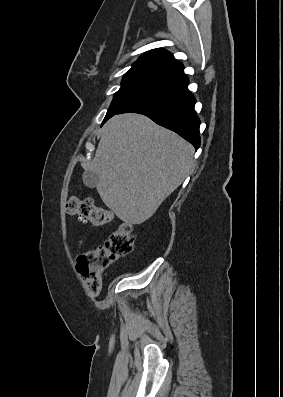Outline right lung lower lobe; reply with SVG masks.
<instances>
[{"mask_svg": "<svg viewBox=\"0 0 283 397\" xmlns=\"http://www.w3.org/2000/svg\"><path fill=\"white\" fill-rule=\"evenodd\" d=\"M188 84L189 79L186 78L169 85L130 104L117 114L133 112L146 115L179 134L197 150L201 143L200 119L194 110L196 99L188 90Z\"/></svg>", "mask_w": 283, "mask_h": 397, "instance_id": "98d812e1", "label": "right lung lower lobe"}]
</instances>
